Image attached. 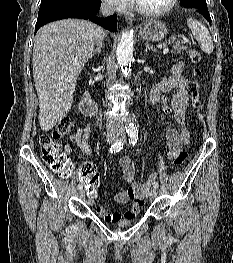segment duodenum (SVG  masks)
Instances as JSON below:
<instances>
[{"label": "duodenum", "instance_id": "duodenum-1", "mask_svg": "<svg viewBox=\"0 0 233 263\" xmlns=\"http://www.w3.org/2000/svg\"><path fill=\"white\" fill-rule=\"evenodd\" d=\"M80 110L83 114L93 116L97 113L98 108L96 102L92 99L88 90H85L80 98L79 102Z\"/></svg>", "mask_w": 233, "mask_h": 263}]
</instances>
